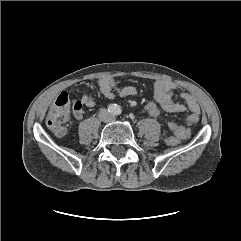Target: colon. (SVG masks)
<instances>
[{
    "label": "colon",
    "instance_id": "obj_1",
    "mask_svg": "<svg viewBox=\"0 0 241 241\" xmlns=\"http://www.w3.org/2000/svg\"><path fill=\"white\" fill-rule=\"evenodd\" d=\"M144 111L153 119L164 123L168 129L172 132V136L167 139V143L171 146H175L181 142L182 139H186L190 135V130L183 126L176 124L173 121L167 120L158 105L153 101H148L143 106ZM71 110L73 113L82 110V105L79 102H70L65 93H61L53 102L50 107L47 117V127L57 135H62L65 132L66 125L68 123ZM199 117L195 114H191L187 117L186 123L189 126H194L198 123Z\"/></svg>",
    "mask_w": 241,
    "mask_h": 241
}]
</instances>
